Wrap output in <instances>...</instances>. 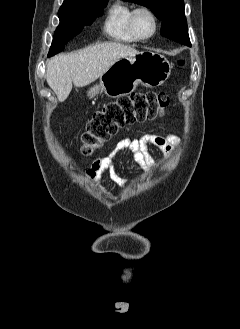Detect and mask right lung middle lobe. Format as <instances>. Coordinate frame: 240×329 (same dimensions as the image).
<instances>
[{
	"label": "right lung middle lobe",
	"instance_id": "dd1d6c3e",
	"mask_svg": "<svg viewBox=\"0 0 240 329\" xmlns=\"http://www.w3.org/2000/svg\"><path fill=\"white\" fill-rule=\"evenodd\" d=\"M109 0L90 3L62 5L58 11L60 24L55 31L48 57L64 49L65 44L80 33L85 25H90L100 16Z\"/></svg>",
	"mask_w": 240,
	"mask_h": 329
}]
</instances>
